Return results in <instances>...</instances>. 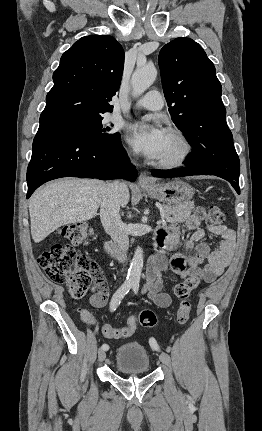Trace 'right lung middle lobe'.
<instances>
[{"label":"right lung middle lobe","instance_id":"right-lung-middle-lobe-1","mask_svg":"<svg viewBox=\"0 0 262 431\" xmlns=\"http://www.w3.org/2000/svg\"><path fill=\"white\" fill-rule=\"evenodd\" d=\"M102 119V116L79 118L47 127L64 129L95 141L112 142L119 139V133H109V127H102Z\"/></svg>","mask_w":262,"mask_h":431}]
</instances>
